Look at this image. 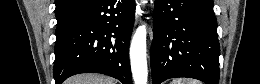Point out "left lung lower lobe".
I'll list each match as a JSON object with an SVG mask.
<instances>
[{
  "label": "left lung lower lobe",
  "mask_w": 260,
  "mask_h": 84,
  "mask_svg": "<svg viewBox=\"0 0 260 84\" xmlns=\"http://www.w3.org/2000/svg\"><path fill=\"white\" fill-rule=\"evenodd\" d=\"M153 84L189 77L219 82V42L213 0H155Z\"/></svg>",
  "instance_id": "left-lung-lower-lobe-1"
}]
</instances>
